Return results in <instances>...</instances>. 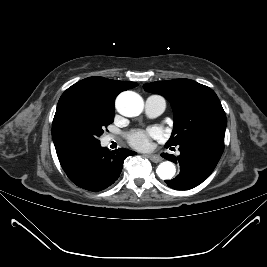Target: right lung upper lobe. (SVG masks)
<instances>
[{
	"label": "right lung upper lobe",
	"instance_id": "right-lung-upper-lobe-1",
	"mask_svg": "<svg viewBox=\"0 0 267 267\" xmlns=\"http://www.w3.org/2000/svg\"><path fill=\"white\" fill-rule=\"evenodd\" d=\"M137 85L134 82L111 80L103 77H89L68 88L62 94L60 100L76 92H90L97 95L105 103L114 105L115 98L120 92Z\"/></svg>",
	"mask_w": 267,
	"mask_h": 267
}]
</instances>
